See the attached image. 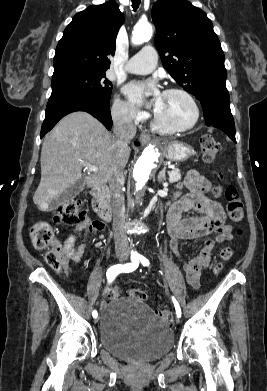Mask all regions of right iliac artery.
Segmentation results:
<instances>
[{"label":"right iliac artery","instance_id":"right-iliac-artery-1","mask_svg":"<svg viewBox=\"0 0 267 391\" xmlns=\"http://www.w3.org/2000/svg\"><path fill=\"white\" fill-rule=\"evenodd\" d=\"M131 261H132V263H127L125 265L117 264V265L110 267L106 273L108 281L112 282L119 273H122V272L128 273V272L134 271L138 267L139 261H138V258L135 256L131 257ZM92 316L94 318L97 317L96 310H94L92 312Z\"/></svg>","mask_w":267,"mask_h":391}]
</instances>
